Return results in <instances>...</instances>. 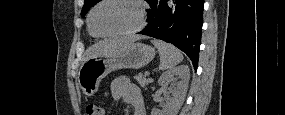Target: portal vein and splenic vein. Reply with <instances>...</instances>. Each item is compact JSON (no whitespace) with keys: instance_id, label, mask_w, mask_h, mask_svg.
Wrapping results in <instances>:
<instances>
[{"instance_id":"1","label":"portal vein and splenic vein","mask_w":285,"mask_h":115,"mask_svg":"<svg viewBox=\"0 0 285 115\" xmlns=\"http://www.w3.org/2000/svg\"><path fill=\"white\" fill-rule=\"evenodd\" d=\"M150 73L148 71L145 72V76H149Z\"/></svg>"}]
</instances>
